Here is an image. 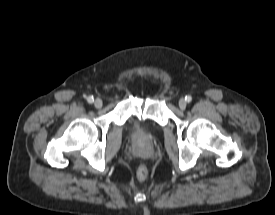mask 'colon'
I'll return each mask as SVG.
<instances>
[{
    "mask_svg": "<svg viewBox=\"0 0 275 215\" xmlns=\"http://www.w3.org/2000/svg\"><path fill=\"white\" fill-rule=\"evenodd\" d=\"M148 168L145 165H140L136 169V176L139 180H145L148 177Z\"/></svg>",
    "mask_w": 275,
    "mask_h": 215,
    "instance_id": "obj_1",
    "label": "colon"
}]
</instances>
